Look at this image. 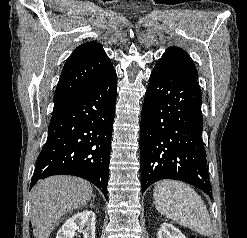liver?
Returning a JSON list of instances; mask_svg holds the SVG:
<instances>
[{
    "instance_id": "6515ba94",
    "label": "liver",
    "mask_w": 247,
    "mask_h": 238,
    "mask_svg": "<svg viewBox=\"0 0 247 238\" xmlns=\"http://www.w3.org/2000/svg\"><path fill=\"white\" fill-rule=\"evenodd\" d=\"M92 196V186L81 178L58 175L38 182L31 192L34 238H49L63 215L84 207Z\"/></svg>"
}]
</instances>
